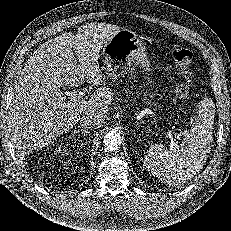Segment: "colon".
Masks as SVG:
<instances>
[{"label": "colon", "mask_w": 231, "mask_h": 231, "mask_svg": "<svg viewBox=\"0 0 231 231\" xmlns=\"http://www.w3.org/2000/svg\"><path fill=\"white\" fill-rule=\"evenodd\" d=\"M192 52L185 48H174L170 53V59L181 77V83L176 87V97L181 101H188L192 96L191 73Z\"/></svg>", "instance_id": "colon-1"}]
</instances>
